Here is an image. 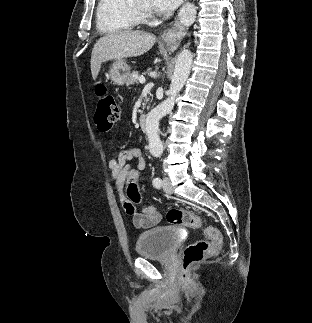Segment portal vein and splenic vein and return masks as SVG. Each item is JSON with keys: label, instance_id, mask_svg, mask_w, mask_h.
<instances>
[{"label": "portal vein and splenic vein", "instance_id": "portal-vein-and-splenic-vein-1", "mask_svg": "<svg viewBox=\"0 0 312 323\" xmlns=\"http://www.w3.org/2000/svg\"><path fill=\"white\" fill-rule=\"evenodd\" d=\"M140 84H145L146 80L145 78H138Z\"/></svg>", "mask_w": 312, "mask_h": 323}]
</instances>
